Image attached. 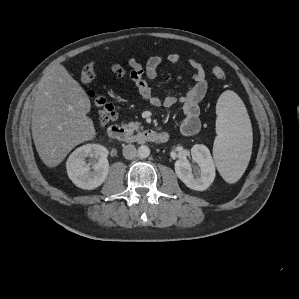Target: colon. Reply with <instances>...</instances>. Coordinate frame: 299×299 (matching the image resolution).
Masks as SVG:
<instances>
[{
    "instance_id": "1",
    "label": "colon",
    "mask_w": 299,
    "mask_h": 299,
    "mask_svg": "<svg viewBox=\"0 0 299 299\" xmlns=\"http://www.w3.org/2000/svg\"><path fill=\"white\" fill-rule=\"evenodd\" d=\"M212 73L217 79H225V71L216 66L213 68ZM96 75L95 66L93 63L85 65L80 73V78L83 83H90L93 81ZM91 100L95 109L98 112L99 122L102 126H107L108 123L114 121L117 117V112L112 104H110L105 98L98 96L94 92L90 93Z\"/></svg>"
}]
</instances>
